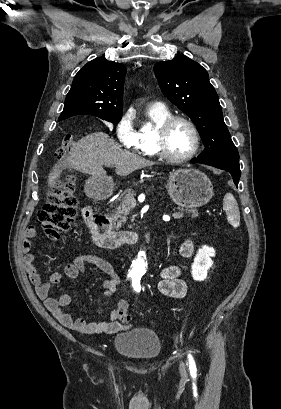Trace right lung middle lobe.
<instances>
[{"label":"right lung middle lobe","mask_w":281,"mask_h":409,"mask_svg":"<svg viewBox=\"0 0 281 409\" xmlns=\"http://www.w3.org/2000/svg\"><path fill=\"white\" fill-rule=\"evenodd\" d=\"M122 116H99V118L112 122V123H118L121 120Z\"/></svg>","instance_id":"right-lung-middle-lobe-1"}]
</instances>
